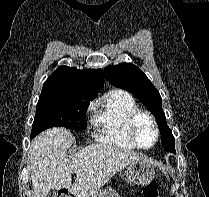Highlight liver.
Masks as SVG:
<instances>
[{
    "instance_id": "liver-1",
    "label": "liver",
    "mask_w": 209,
    "mask_h": 197,
    "mask_svg": "<svg viewBox=\"0 0 209 197\" xmlns=\"http://www.w3.org/2000/svg\"><path fill=\"white\" fill-rule=\"evenodd\" d=\"M74 142L70 131L61 127L47 129L34 138L30 148L34 197H46L50 190L62 188L75 197H88L130 163L143 159L110 144H92L68 156ZM73 172L77 178L72 184Z\"/></svg>"
}]
</instances>
